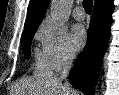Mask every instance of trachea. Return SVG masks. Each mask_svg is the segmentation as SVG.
I'll return each mask as SVG.
<instances>
[{
  "label": "trachea",
  "instance_id": "obj_1",
  "mask_svg": "<svg viewBox=\"0 0 119 95\" xmlns=\"http://www.w3.org/2000/svg\"><path fill=\"white\" fill-rule=\"evenodd\" d=\"M92 5H93L92 0H83V7H84L87 14L92 13Z\"/></svg>",
  "mask_w": 119,
  "mask_h": 95
}]
</instances>
